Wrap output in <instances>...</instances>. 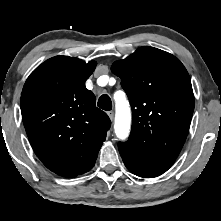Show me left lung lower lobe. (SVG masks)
I'll return each mask as SVG.
<instances>
[{
	"mask_svg": "<svg viewBox=\"0 0 221 221\" xmlns=\"http://www.w3.org/2000/svg\"><path fill=\"white\" fill-rule=\"evenodd\" d=\"M118 149L125 166L133 174L144 178L161 175L175 162L174 159L148 155L128 142H119Z\"/></svg>",
	"mask_w": 221,
	"mask_h": 221,
	"instance_id": "obj_1",
	"label": "left lung lower lobe"
}]
</instances>
